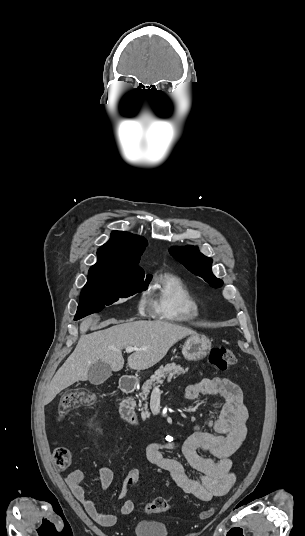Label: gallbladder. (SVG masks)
<instances>
[{"mask_svg": "<svg viewBox=\"0 0 305 536\" xmlns=\"http://www.w3.org/2000/svg\"><path fill=\"white\" fill-rule=\"evenodd\" d=\"M110 376H112V370L106 362H96L88 372V380L90 384H95V386L103 384Z\"/></svg>", "mask_w": 305, "mask_h": 536, "instance_id": "obj_1", "label": "gallbladder"}]
</instances>
